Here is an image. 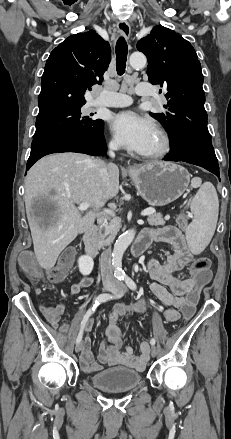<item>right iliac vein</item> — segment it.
I'll list each match as a JSON object with an SVG mask.
<instances>
[{
	"instance_id": "right-iliac-vein-1",
	"label": "right iliac vein",
	"mask_w": 231,
	"mask_h": 439,
	"mask_svg": "<svg viewBox=\"0 0 231 439\" xmlns=\"http://www.w3.org/2000/svg\"><path fill=\"white\" fill-rule=\"evenodd\" d=\"M116 287L114 286V285H105L104 286V290L105 291H114V289H115ZM82 343L81 342H79V343H77V345H76V347H75V351L77 352V353H79L81 350H82Z\"/></svg>"
}]
</instances>
